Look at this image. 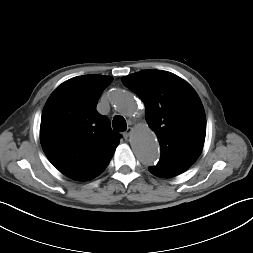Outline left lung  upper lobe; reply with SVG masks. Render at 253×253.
<instances>
[{
  "label": "left lung upper lobe",
  "mask_w": 253,
  "mask_h": 253,
  "mask_svg": "<svg viewBox=\"0 0 253 253\" xmlns=\"http://www.w3.org/2000/svg\"><path fill=\"white\" fill-rule=\"evenodd\" d=\"M122 82L145 104L148 125L161 146L157 165L187 170L199 157L206 135L197 93L177 75L162 70H143Z\"/></svg>",
  "instance_id": "obj_1"
}]
</instances>
